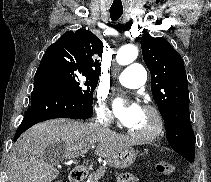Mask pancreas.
Here are the masks:
<instances>
[{
    "label": "pancreas",
    "mask_w": 211,
    "mask_h": 182,
    "mask_svg": "<svg viewBox=\"0 0 211 182\" xmlns=\"http://www.w3.org/2000/svg\"><path fill=\"white\" fill-rule=\"evenodd\" d=\"M106 169L107 168L105 166L99 167V169L89 175L87 182H98L99 179L105 174Z\"/></svg>",
    "instance_id": "1"
}]
</instances>
